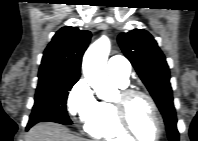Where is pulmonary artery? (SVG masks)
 I'll return each mask as SVG.
<instances>
[{"mask_svg": "<svg viewBox=\"0 0 198 141\" xmlns=\"http://www.w3.org/2000/svg\"><path fill=\"white\" fill-rule=\"evenodd\" d=\"M107 71L113 81L128 83L130 66L124 57L119 55L111 57L107 64Z\"/></svg>", "mask_w": 198, "mask_h": 141, "instance_id": "e3ab8cb5", "label": "pulmonary artery"}]
</instances>
